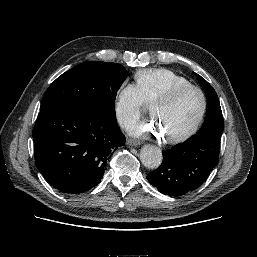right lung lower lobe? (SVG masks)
<instances>
[{"label": "right lung lower lobe", "mask_w": 257, "mask_h": 257, "mask_svg": "<svg viewBox=\"0 0 257 257\" xmlns=\"http://www.w3.org/2000/svg\"><path fill=\"white\" fill-rule=\"evenodd\" d=\"M35 163L64 193L90 190L102 179L125 136L116 116L88 105L64 104L40 111L33 129Z\"/></svg>", "instance_id": "98d812e1"}]
</instances>
